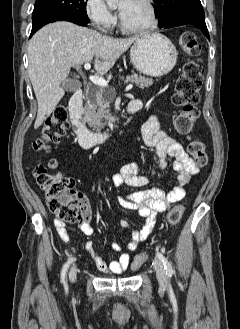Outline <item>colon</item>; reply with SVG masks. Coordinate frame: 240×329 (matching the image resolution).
<instances>
[{"instance_id": "1", "label": "colon", "mask_w": 240, "mask_h": 329, "mask_svg": "<svg viewBox=\"0 0 240 329\" xmlns=\"http://www.w3.org/2000/svg\"><path fill=\"white\" fill-rule=\"evenodd\" d=\"M182 51L191 58L177 80L173 101L182 107L176 119V128L179 133L189 139L188 152L197 166L207 163V155L202 141L192 138L191 133L198 118L196 104L199 102V91L203 83V70L200 63L194 59L201 51V44L191 32L181 35ZM68 110L64 103L58 104L47 118L42 134L35 141L36 150H45L51 143L60 140L68 129ZM35 178L45 194L46 203L57 220L63 223H72L79 218V207L82 199L74 189V180L61 173H51L45 167L39 166L35 170ZM184 213V207L174 206L167 214V222L176 225ZM147 260L145 254L139 255L131 262V269H139Z\"/></svg>"}]
</instances>
